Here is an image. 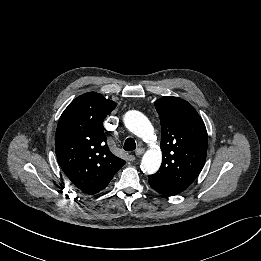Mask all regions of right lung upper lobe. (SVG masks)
Listing matches in <instances>:
<instances>
[{
  "mask_svg": "<svg viewBox=\"0 0 261 261\" xmlns=\"http://www.w3.org/2000/svg\"><path fill=\"white\" fill-rule=\"evenodd\" d=\"M116 107L101 94L75 98L62 113L55 135L58 163L83 193L93 195L109 184L125 161L111 153L103 129L105 117Z\"/></svg>",
  "mask_w": 261,
  "mask_h": 261,
  "instance_id": "1",
  "label": "right lung upper lobe"
}]
</instances>
